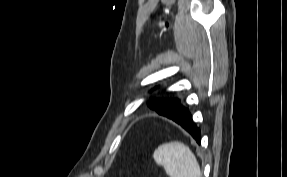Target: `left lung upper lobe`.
<instances>
[{"instance_id":"5c2ea615","label":"left lung upper lobe","mask_w":287,"mask_h":177,"mask_svg":"<svg viewBox=\"0 0 287 177\" xmlns=\"http://www.w3.org/2000/svg\"><path fill=\"white\" fill-rule=\"evenodd\" d=\"M148 106L163 116L174 114L179 108V105L175 99L167 98H151L148 101Z\"/></svg>"}]
</instances>
